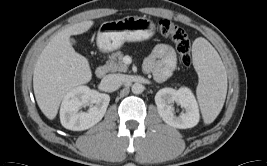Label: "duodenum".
<instances>
[{
  "label": "duodenum",
  "mask_w": 267,
  "mask_h": 166,
  "mask_svg": "<svg viewBox=\"0 0 267 166\" xmlns=\"http://www.w3.org/2000/svg\"><path fill=\"white\" fill-rule=\"evenodd\" d=\"M107 72V69L105 66L101 65V66H98L96 71H95V75L97 78L101 79L105 76Z\"/></svg>",
  "instance_id": "1"
}]
</instances>
